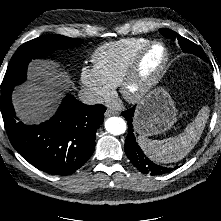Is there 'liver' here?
<instances>
[{"label":"liver","mask_w":221,"mask_h":221,"mask_svg":"<svg viewBox=\"0 0 221 221\" xmlns=\"http://www.w3.org/2000/svg\"><path fill=\"white\" fill-rule=\"evenodd\" d=\"M30 83L19 87L13 94L14 105L25 122H36L49 116L55 109L62 91L72 81L58 70L53 61H33L29 65Z\"/></svg>","instance_id":"6515ba94"}]
</instances>
